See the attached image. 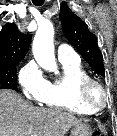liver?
<instances>
[{
    "label": "liver",
    "mask_w": 117,
    "mask_h": 136,
    "mask_svg": "<svg viewBox=\"0 0 117 136\" xmlns=\"http://www.w3.org/2000/svg\"><path fill=\"white\" fill-rule=\"evenodd\" d=\"M81 120L54 108L35 107L12 90H0V136H64Z\"/></svg>",
    "instance_id": "liver-1"
}]
</instances>
